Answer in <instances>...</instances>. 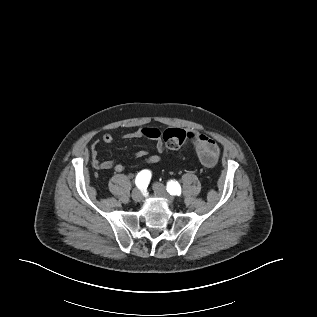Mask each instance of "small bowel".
Segmentation results:
<instances>
[{
	"label": "small bowel",
	"mask_w": 317,
	"mask_h": 317,
	"mask_svg": "<svg viewBox=\"0 0 317 317\" xmlns=\"http://www.w3.org/2000/svg\"><path fill=\"white\" fill-rule=\"evenodd\" d=\"M190 133L193 134L191 142L193 143L194 150L204 166L212 167L217 162L220 155V147L218 143L208 137L205 134L199 133L198 131L192 130ZM160 131L156 128H139L135 131L128 132L123 135L125 139H136V138H147L153 140L156 143V150L158 153H162L165 150L164 143L161 139ZM114 141V137L106 133L102 136V142L104 144H111ZM137 159H144L147 164H155L160 162L161 156L158 154L149 155L146 150H138L134 154ZM91 163L96 170H114L116 173H122L124 166L114 160L102 161L99 158L98 145L94 144L91 148Z\"/></svg>",
	"instance_id": "obj_1"
}]
</instances>
